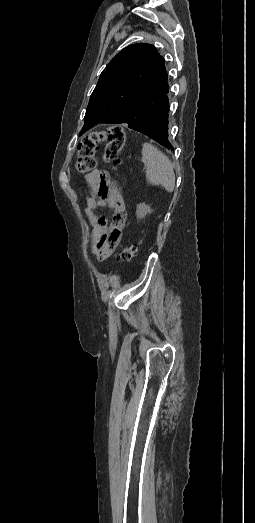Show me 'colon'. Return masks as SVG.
I'll return each instance as SVG.
<instances>
[{"mask_svg": "<svg viewBox=\"0 0 255 523\" xmlns=\"http://www.w3.org/2000/svg\"><path fill=\"white\" fill-rule=\"evenodd\" d=\"M105 143L104 160L116 168L120 163V153L125 144V132L120 126H109L85 136L78 144L76 169L79 173H88L96 166L95 152L99 145ZM137 254L135 245H127L117 255L123 262H131Z\"/></svg>", "mask_w": 255, "mask_h": 523, "instance_id": "obj_1", "label": "colon"}]
</instances>
